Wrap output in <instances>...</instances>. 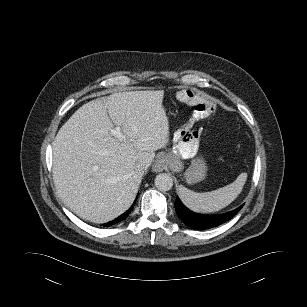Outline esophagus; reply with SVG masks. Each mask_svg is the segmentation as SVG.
Wrapping results in <instances>:
<instances>
[{
	"label": "esophagus",
	"instance_id": "obj_1",
	"mask_svg": "<svg viewBox=\"0 0 307 307\" xmlns=\"http://www.w3.org/2000/svg\"><path fill=\"white\" fill-rule=\"evenodd\" d=\"M167 160L165 156H158L153 164V171L161 172L166 168Z\"/></svg>",
	"mask_w": 307,
	"mask_h": 307
}]
</instances>
